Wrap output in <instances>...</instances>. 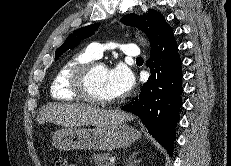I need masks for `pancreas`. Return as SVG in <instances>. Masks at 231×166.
I'll return each instance as SVG.
<instances>
[{
    "label": "pancreas",
    "instance_id": "pancreas-1",
    "mask_svg": "<svg viewBox=\"0 0 231 166\" xmlns=\"http://www.w3.org/2000/svg\"><path fill=\"white\" fill-rule=\"evenodd\" d=\"M110 157L109 153H104V154H96L93 156V160L96 164V166H114L113 163L108 161Z\"/></svg>",
    "mask_w": 231,
    "mask_h": 166
}]
</instances>
